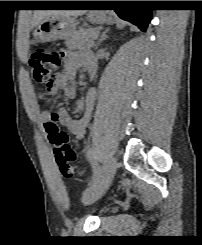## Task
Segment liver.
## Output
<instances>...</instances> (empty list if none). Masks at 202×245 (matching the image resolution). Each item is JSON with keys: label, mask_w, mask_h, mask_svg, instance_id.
I'll return each mask as SVG.
<instances>
[{"label": "liver", "mask_w": 202, "mask_h": 245, "mask_svg": "<svg viewBox=\"0 0 202 245\" xmlns=\"http://www.w3.org/2000/svg\"><path fill=\"white\" fill-rule=\"evenodd\" d=\"M86 13V10H37L34 12L32 19V27L37 26V24L46 16H67V17H77L82 16Z\"/></svg>", "instance_id": "liver-1"}]
</instances>
